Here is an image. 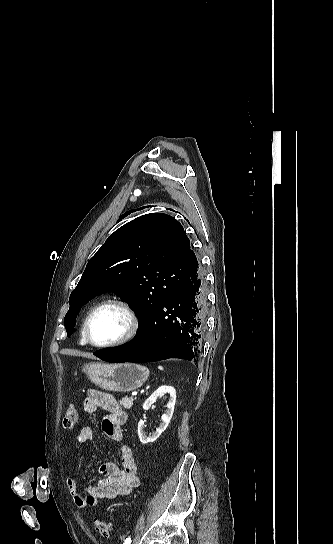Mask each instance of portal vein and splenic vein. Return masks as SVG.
<instances>
[{
    "mask_svg": "<svg viewBox=\"0 0 333 544\" xmlns=\"http://www.w3.org/2000/svg\"><path fill=\"white\" fill-rule=\"evenodd\" d=\"M136 395H137V392H133V393H132V396H136Z\"/></svg>",
    "mask_w": 333,
    "mask_h": 544,
    "instance_id": "obj_1",
    "label": "portal vein and splenic vein"
}]
</instances>
